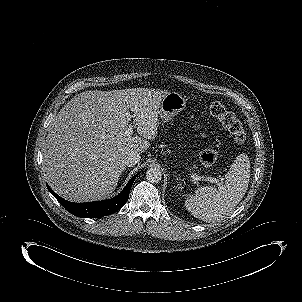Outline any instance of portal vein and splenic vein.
<instances>
[{
  "label": "portal vein and splenic vein",
  "instance_id": "18ae733b",
  "mask_svg": "<svg viewBox=\"0 0 302 302\" xmlns=\"http://www.w3.org/2000/svg\"><path fill=\"white\" fill-rule=\"evenodd\" d=\"M130 116V113L128 114ZM134 126L130 125L128 129L124 132L125 136H130L133 133ZM192 179L195 181H208L210 183H215L217 185H220L219 180L213 177H208V176H199V175H191Z\"/></svg>",
  "mask_w": 302,
  "mask_h": 302
}]
</instances>
